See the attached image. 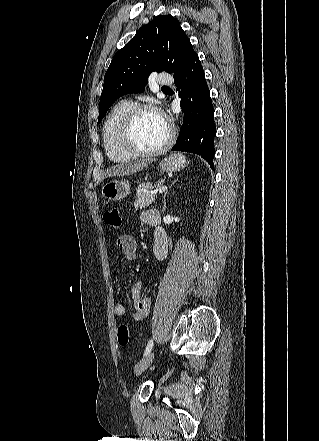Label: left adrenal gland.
<instances>
[{
  "label": "left adrenal gland",
  "instance_id": "a2214340",
  "mask_svg": "<svg viewBox=\"0 0 319 441\" xmlns=\"http://www.w3.org/2000/svg\"><path fill=\"white\" fill-rule=\"evenodd\" d=\"M177 181V180H176ZM176 181H174L170 186H169V189L174 185V183L176 182ZM169 189H167V191L165 192V194H164V196H163V209H162V212H165L166 211V195H167V193H168V190Z\"/></svg>",
  "mask_w": 319,
  "mask_h": 441
}]
</instances>
